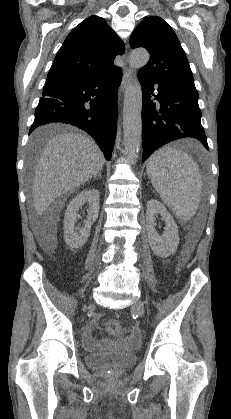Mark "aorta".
Instances as JSON below:
<instances>
[{"label":"aorta","instance_id":"obj_1","mask_svg":"<svg viewBox=\"0 0 231 419\" xmlns=\"http://www.w3.org/2000/svg\"><path fill=\"white\" fill-rule=\"evenodd\" d=\"M150 55L145 49L132 51L129 63L134 69H140L149 61ZM142 89L137 78L127 86L123 106V141L129 162L134 163L141 148L142 137Z\"/></svg>","mask_w":231,"mask_h":419}]
</instances>
